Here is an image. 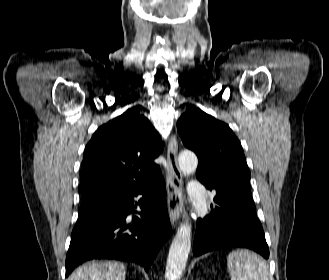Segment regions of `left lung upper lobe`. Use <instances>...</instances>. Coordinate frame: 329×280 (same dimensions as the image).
I'll use <instances>...</instances> for the list:
<instances>
[{"label": "left lung upper lobe", "instance_id": "obj_1", "mask_svg": "<svg viewBox=\"0 0 329 280\" xmlns=\"http://www.w3.org/2000/svg\"><path fill=\"white\" fill-rule=\"evenodd\" d=\"M184 145L199 160L196 177L215 197L249 189L250 171L237 137L224 122L199 108L186 111L177 122Z\"/></svg>", "mask_w": 329, "mask_h": 280}]
</instances>
